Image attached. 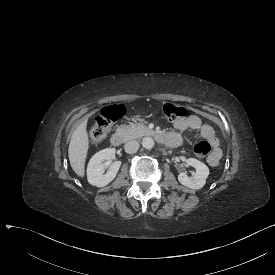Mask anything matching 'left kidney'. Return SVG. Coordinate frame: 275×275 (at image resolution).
<instances>
[{"label": "left kidney", "mask_w": 275, "mask_h": 275, "mask_svg": "<svg viewBox=\"0 0 275 275\" xmlns=\"http://www.w3.org/2000/svg\"><path fill=\"white\" fill-rule=\"evenodd\" d=\"M181 159L184 160L188 165L194 167L196 172L192 177H188L186 173L181 172L178 175L179 182L191 189L197 190L202 188L205 185L206 178L209 175L208 167L204 163L194 158L185 159V157H181Z\"/></svg>", "instance_id": "5707ae66"}]
</instances>
